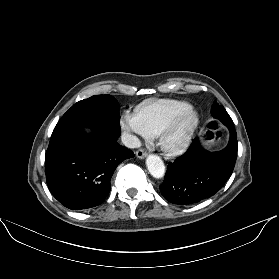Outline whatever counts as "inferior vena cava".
Masks as SVG:
<instances>
[{"instance_id": "1", "label": "inferior vena cava", "mask_w": 279, "mask_h": 279, "mask_svg": "<svg viewBox=\"0 0 279 279\" xmlns=\"http://www.w3.org/2000/svg\"><path fill=\"white\" fill-rule=\"evenodd\" d=\"M122 143L128 148H139L141 146V142L135 135H132L128 132L122 133L121 136Z\"/></svg>"}]
</instances>
